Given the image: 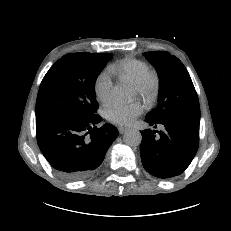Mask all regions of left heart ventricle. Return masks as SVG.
I'll list each match as a JSON object with an SVG mask.
<instances>
[{
    "instance_id": "obj_1",
    "label": "left heart ventricle",
    "mask_w": 231,
    "mask_h": 231,
    "mask_svg": "<svg viewBox=\"0 0 231 231\" xmlns=\"http://www.w3.org/2000/svg\"><path fill=\"white\" fill-rule=\"evenodd\" d=\"M135 94H136V95H139L138 92H137L136 90H135Z\"/></svg>"
}]
</instances>
